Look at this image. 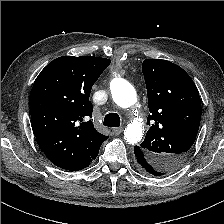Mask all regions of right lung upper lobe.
<instances>
[{"label":"right lung upper lobe","mask_w":224,"mask_h":224,"mask_svg":"<svg viewBox=\"0 0 224 224\" xmlns=\"http://www.w3.org/2000/svg\"><path fill=\"white\" fill-rule=\"evenodd\" d=\"M110 60L62 56L36 78L29 98L33 132L39 147L57 167L77 171L88 167L108 138L89 117L93 84Z\"/></svg>","instance_id":"right-lung-upper-lobe-1"}]
</instances>
